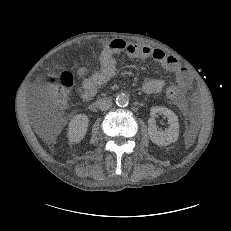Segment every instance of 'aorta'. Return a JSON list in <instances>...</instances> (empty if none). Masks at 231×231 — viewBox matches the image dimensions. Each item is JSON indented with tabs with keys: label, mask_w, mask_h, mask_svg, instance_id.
<instances>
[{
	"label": "aorta",
	"mask_w": 231,
	"mask_h": 231,
	"mask_svg": "<svg viewBox=\"0 0 231 231\" xmlns=\"http://www.w3.org/2000/svg\"><path fill=\"white\" fill-rule=\"evenodd\" d=\"M128 103H129V97L126 94H119L116 97V104L119 107H125L128 105Z\"/></svg>",
	"instance_id": "762f6f07"
}]
</instances>
